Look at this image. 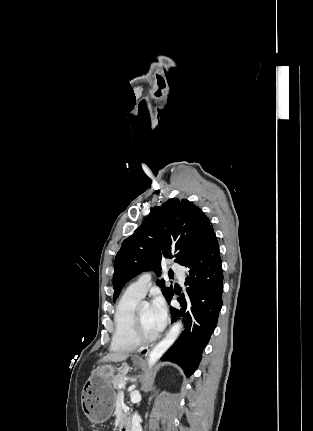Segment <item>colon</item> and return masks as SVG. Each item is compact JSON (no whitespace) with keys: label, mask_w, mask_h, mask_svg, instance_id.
Returning <instances> with one entry per match:
<instances>
[{"label":"colon","mask_w":313,"mask_h":431,"mask_svg":"<svg viewBox=\"0 0 313 431\" xmlns=\"http://www.w3.org/2000/svg\"><path fill=\"white\" fill-rule=\"evenodd\" d=\"M89 431H97V430L92 429V430H89Z\"/></svg>","instance_id":"obj_1"}]
</instances>
